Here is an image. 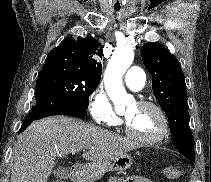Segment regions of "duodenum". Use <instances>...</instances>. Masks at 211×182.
Returning a JSON list of instances; mask_svg holds the SVG:
<instances>
[{
  "mask_svg": "<svg viewBox=\"0 0 211 182\" xmlns=\"http://www.w3.org/2000/svg\"><path fill=\"white\" fill-rule=\"evenodd\" d=\"M79 174H80L79 168H77V167L73 168V172H72V176H71L73 182H76L78 180Z\"/></svg>",
  "mask_w": 211,
  "mask_h": 182,
  "instance_id": "obj_1",
  "label": "duodenum"
}]
</instances>
